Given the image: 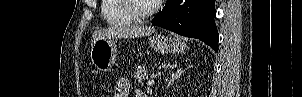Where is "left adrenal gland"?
<instances>
[{
	"instance_id": "1",
	"label": "left adrenal gland",
	"mask_w": 302,
	"mask_h": 97,
	"mask_svg": "<svg viewBox=\"0 0 302 97\" xmlns=\"http://www.w3.org/2000/svg\"><path fill=\"white\" fill-rule=\"evenodd\" d=\"M190 66L182 69V68H178L175 72H173L171 75H170V78L168 79L167 81V85H166V89L172 85L174 83L175 80H177L182 74L185 73V71L187 69H189Z\"/></svg>"
}]
</instances>
